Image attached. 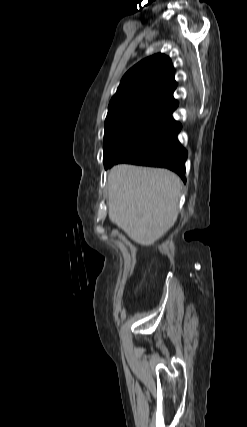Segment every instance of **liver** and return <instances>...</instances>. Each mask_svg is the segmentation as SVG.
<instances>
[{"mask_svg": "<svg viewBox=\"0 0 247 427\" xmlns=\"http://www.w3.org/2000/svg\"><path fill=\"white\" fill-rule=\"evenodd\" d=\"M181 189V179L167 169L116 165L108 174L109 219L149 246L175 224Z\"/></svg>", "mask_w": 247, "mask_h": 427, "instance_id": "liver-1", "label": "liver"}]
</instances>
